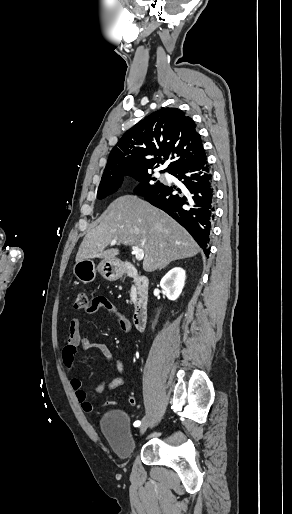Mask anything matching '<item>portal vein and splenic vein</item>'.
Here are the masks:
<instances>
[{
	"label": "portal vein and splenic vein",
	"mask_w": 292,
	"mask_h": 514,
	"mask_svg": "<svg viewBox=\"0 0 292 514\" xmlns=\"http://www.w3.org/2000/svg\"><path fill=\"white\" fill-rule=\"evenodd\" d=\"M115 244H117L116 240H112L111 246H115ZM132 250L133 252H131V254H135L136 260H143L144 252L142 248H136V246H132Z\"/></svg>",
	"instance_id": "portal-vein-and-splenic-vein-1"
}]
</instances>
